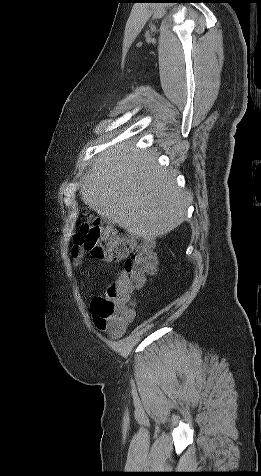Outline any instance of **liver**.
Listing matches in <instances>:
<instances>
[{"instance_id": "obj_1", "label": "liver", "mask_w": 261, "mask_h": 476, "mask_svg": "<svg viewBox=\"0 0 261 476\" xmlns=\"http://www.w3.org/2000/svg\"><path fill=\"white\" fill-rule=\"evenodd\" d=\"M157 159L155 150H133L132 142L105 150L83 178V202L133 236L166 235L185 220L190 195Z\"/></svg>"}]
</instances>
